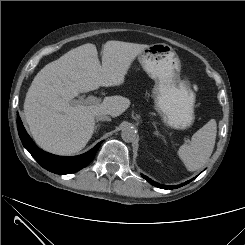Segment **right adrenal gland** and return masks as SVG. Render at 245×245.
I'll return each mask as SVG.
<instances>
[{"label":"right adrenal gland","instance_id":"right-adrenal-gland-1","mask_svg":"<svg viewBox=\"0 0 245 245\" xmlns=\"http://www.w3.org/2000/svg\"><path fill=\"white\" fill-rule=\"evenodd\" d=\"M99 127H100V124H97V125L95 126V132H96V130H97Z\"/></svg>","mask_w":245,"mask_h":245}]
</instances>
